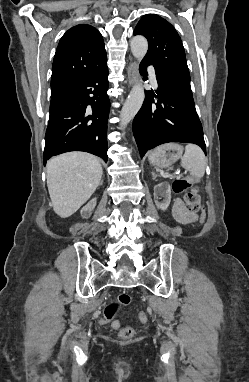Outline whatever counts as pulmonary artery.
Here are the masks:
<instances>
[{"instance_id": "e3ab8cb5", "label": "pulmonary artery", "mask_w": 249, "mask_h": 382, "mask_svg": "<svg viewBox=\"0 0 249 382\" xmlns=\"http://www.w3.org/2000/svg\"><path fill=\"white\" fill-rule=\"evenodd\" d=\"M150 80L153 83V85H157L156 75L154 70L150 69Z\"/></svg>"}]
</instances>
